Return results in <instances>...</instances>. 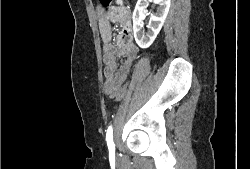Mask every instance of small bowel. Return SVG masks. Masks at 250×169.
Instances as JSON below:
<instances>
[{
	"label": "small bowel",
	"instance_id": "obj_1",
	"mask_svg": "<svg viewBox=\"0 0 250 169\" xmlns=\"http://www.w3.org/2000/svg\"><path fill=\"white\" fill-rule=\"evenodd\" d=\"M118 13L121 19H126L124 10H118ZM112 17H114V14L108 13L107 16L102 18L100 23V32L104 49L103 62L105 64L104 93L107 96L111 95V91H116V89H126L118 88V83H127L125 79L128 77L134 60L138 55V49L133 43H124L120 47H115L111 44V33L108 22ZM124 25V34L128 37V24L125 22ZM122 56L125 60L121 66H118L117 59Z\"/></svg>",
	"mask_w": 250,
	"mask_h": 169
}]
</instances>
